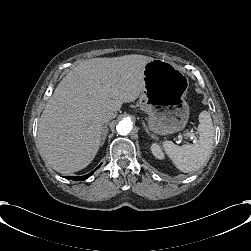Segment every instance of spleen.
Returning a JSON list of instances; mask_svg holds the SVG:
<instances>
[{"instance_id":"obj_1","label":"spleen","mask_w":251,"mask_h":251,"mask_svg":"<svg viewBox=\"0 0 251 251\" xmlns=\"http://www.w3.org/2000/svg\"><path fill=\"white\" fill-rule=\"evenodd\" d=\"M199 140L194 144L178 146L172 141H164L163 148L175 166L184 173L199 169L211 154L214 126L208 111L199 114Z\"/></svg>"}]
</instances>
